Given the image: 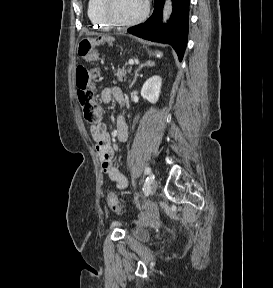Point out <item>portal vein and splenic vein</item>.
Here are the masks:
<instances>
[{"label":"portal vein and splenic vein","instance_id":"1","mask_svg":"<svg viewBox=\"0 0 273 288\" xmlns=\"http://www.w3.org/2000/svg\"><path fill=\"white\" fill-rule=\"evenodd\" d=\"M129 64H130V65H134V60H132V59L129 60Z\"/></svg>","mask_w":273,"mask_h":288}]
</instances>
